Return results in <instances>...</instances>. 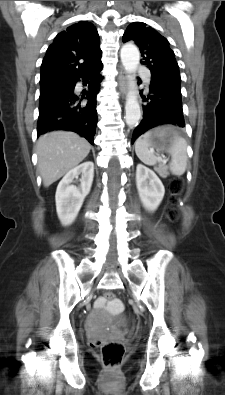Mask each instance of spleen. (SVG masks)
Instances as JSON below:
<instances>
[{
	"label": "spleen",
	"mask_w": 225,
	"mask_h": 395,
	"mask_svg": "<svg viewBox=\"0 0 225 395\" xmlns=\"http://www.w3.org/2000/svg\"><path fill=\"white\" fill-rule=\"evenodd\" d=\"M151 132L140 136L135 142V152L137 157L146 165L154 166L157 164V157L150 143ZM171 155V162L165 169H169L173 175L184 174L187 167V143L180 136H176L174 142L167 149ZM164 170V169H163Z\"/></svg>",
	"instance_id": "3e777b00"
}]
</instances>
